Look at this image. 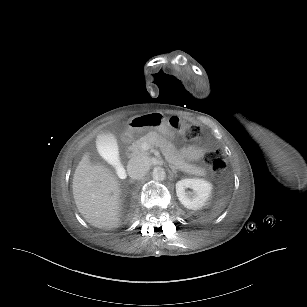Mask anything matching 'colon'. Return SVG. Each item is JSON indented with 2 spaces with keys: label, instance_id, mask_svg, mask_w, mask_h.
<instances>
[{
  "label": "colon",
  "instance_id": "1",
  "mask_svg": "<svg viewBox=\"0 0 307 307\" xmlns=\"http://www.w3.org/2000/svg\"><path fill=\"white\" fill-rule=\"evenodd\" d=\"M168 122L171 128L181 133L185 140L192 142L199 138L200 129L197 125L186 123L178 117H171ZM205 163L215 177L221 178L225 175L227 162L222 152L218 150L207 152Z\"/></svg>",
  "mask_w": 307,
  "mask_h": 307
}]
</instances>
